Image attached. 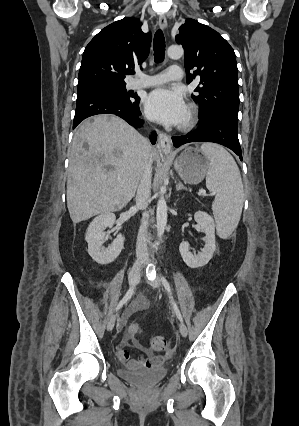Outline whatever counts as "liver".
<instances>
[{"mask_svg":"<svg viewBox=\"0 0 299 426\" xmlns=\"http://www.w3.org/2000/svg\"><path fill=\"white\" fill-rule=\"evenodd\" d=\"M155 157L148 141L121 118L97 115L85 120L69 155L67 207L72 222L125 207L148 159Z\"/></svg>","mask_w":299,"mask_h":426,"instance_id":"1","label":"liver"}]
</instances>
